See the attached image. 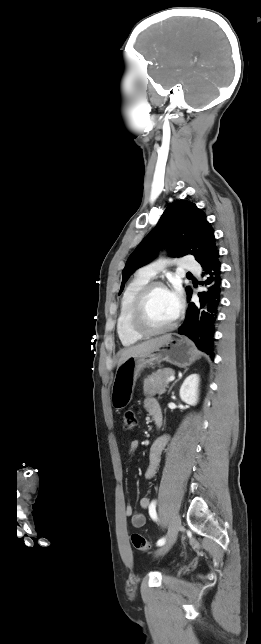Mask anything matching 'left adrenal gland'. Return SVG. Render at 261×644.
I'll use <instances>...</instances> for the list:
<instances>
[{
	"mask_svg": "<svg viewBox=\"0 0 261 644\" xmlns=\"http://www.w3.org/2000/svg\"><path fill=\"white\" fill-rule=\"evenodd\" d=\"M185 372H186V371H185ZM185 372H184V373H185ZM179 380H180V378L176 379V380L173 382V384L171 385V387H170V388H169V390H168V393L172 390L173 386H174V385H175Z\"/></svg>",
	"mask_w": 261,
	"mask_h": 644,
	"instance_id": "1",
	"label": "left adrenal gland"
}]
</instances>
